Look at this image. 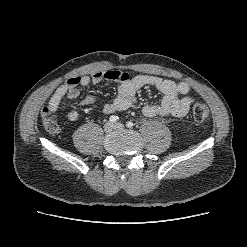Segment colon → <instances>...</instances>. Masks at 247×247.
Listing matches in <instances>:
<instances>
[{"label": "colon", "mask_w": 247, "mask_h": 247, "mask_svg": "<svg viewBox=\"0 0 247 247\" xmlns=\"http://www.w3.org/2000/svg\"><path fill=\"white\" fill-rule=\"evenodd\" d=\"M42 118L45 128L49 132L57 130V125L54 118V113L49 107H45L42 110ZM192 116L197 122H204L209 117V108L202 103L195 104L192 109Z\"/></svg>", "instance_id": "1"}]
</instances>
